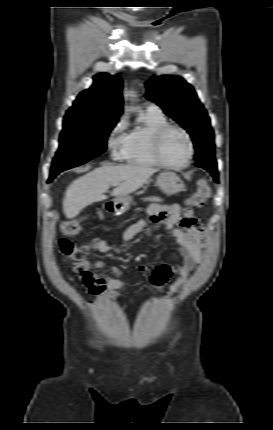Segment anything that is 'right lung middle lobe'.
Wrapping results in <instances>:
<instances>
[{
  "instance_id": "1",
  "label": "right lung middle lobe",
  "mask_w": 273,
  "mask_h": 430,
  "mask_svg": "<svg viewBox=\"0 0 273 430\" xmlns=\"http://www.w3.org/2000/svg\"><path fill=\"white\" fill-rule=\"evenodd\" d=\"M117 121L66 114L51 175L79 166L103 153L107 136Z\"/></svg>"
}]
</instances>
